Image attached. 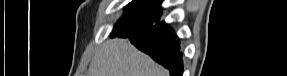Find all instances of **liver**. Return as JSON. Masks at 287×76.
Instances as JSON below:
<instances>
[{
	"label": "liver",
	"instance_id": "1",
	"mask_svg": "<svg viewBox=\"0 0 287 76\" xmlns=\"http://www.w3.org/2000/svg\"><path fill=\"white\" fill-rule=\"evenodd\" d=\"M90 76H168L167 71L126 39L105 42L89 65Z\"/></svg>",
	"mask_w": 287,
	"mask_h": 76
}]
</instances>
